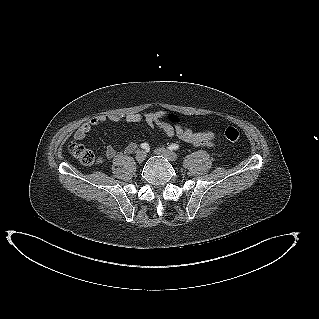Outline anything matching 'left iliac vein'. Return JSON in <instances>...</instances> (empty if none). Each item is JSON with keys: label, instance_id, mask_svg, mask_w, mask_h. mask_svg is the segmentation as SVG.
I'll use <instances>...</instances> for the list:
<instances>
[{"label": "left iliac vein", "instance_id": "4c4485c4", "mask_svg": "<svg viewBox=\"0 0 319 319\" xmlns=\"http://www.w3.org/2000/svg\"><path fill=\"white\" fill-rule=\"evenodd\" d=\"M154 152L158 155L164 156L169 161H176L178 158V155L175 152L170 151V150L163 148V147L157 148Z\"/></svg>", "mask_w": 319, "mask_h": 319}]
</instances>
